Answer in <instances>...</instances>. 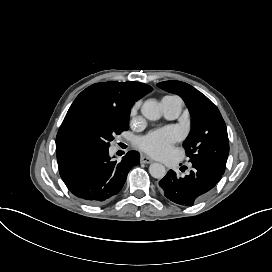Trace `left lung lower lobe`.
I'll list each match as a JSON object with an SVG mask.
<instances>
[{
    "label": "left lung lower lobe",
    "instance_id": "1",
    "mask_svg": "<svg viewBox=\"0 0 272 272\" xmlns=\"http://www.w3.org/2000/svg\"><path fill=\"white\" fill-rule=\"evenodd\" d=\"M193 171L184 178H178L170 170L159 182L165 197L181 206H192L212 190L223 173L198 162H193Z\"/></svg>",
    "mask_w": 272,
    "mask_h": 272
}]
</instances>
